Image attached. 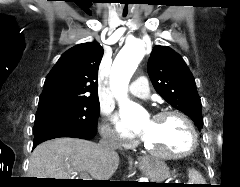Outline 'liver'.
<instances>
[{
  "mask_svg": "<svg viewBox=\"0 0 240 187\" xmlns=\"http://www.w3.org/2000/svg\"><path fill=\"white\" fill-rule=\"evenodd\" d=\"M118 165V154H106L98 144L77 138H57L34 149L28 177L74 179L78 173L85 172L92 180H109Z\"/></svg>",
  "mask_w": 240,
  "mask_h": 187,
  "instance_id": "obj_1",
  "label": "liver"
}]
</instances>
